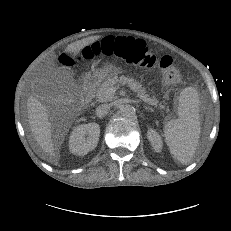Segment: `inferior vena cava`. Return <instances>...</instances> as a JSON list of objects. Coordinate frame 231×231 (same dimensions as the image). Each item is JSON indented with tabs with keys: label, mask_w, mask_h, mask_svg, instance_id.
Instances as JSON below:
<instances>
[{
	"label": "inferior vena cava",
	"mask_w": 231,
	"mask_h": 231,
	"mask_svg": "<svg viewBox=\"0 0 231 231\" xmlns=\"http://www.w3.org/2000/svg\"><path fill=\"white\" fill-rule=\"evenodd\" d=\"M110 111V104H101L96 108V115L98 117H104Z\"/></svg>",
	"instance_id": "602c4592"
}]
</instances>
